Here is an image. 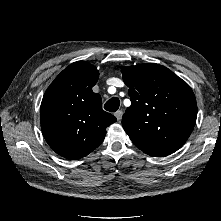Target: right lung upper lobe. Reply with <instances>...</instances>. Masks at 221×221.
I'll return each mask as SVG.
<instances>
[{
	"instance_id": "1",
	"label": "right lung upper lobe",
	"mask_w": 221,
	"mask_h": 221,
	"mask_svg": "<svg viewBox=\"0 0 221 221\" xmlns=\"http://www.w3.org/2000/svg\"><path fill=\"white\" fill-rule=\"evenodd\" d=\"M98 70L85 61L64 69L44 94L41 129L50 147L59 155L79 159L101 144L106 127L116 118L102 110L101 96L92 91Z\"/></svg>"
}]
</instances>
